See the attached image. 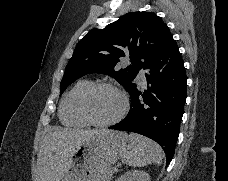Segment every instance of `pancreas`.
I'll return each mask as SVG.
<instances>
[{"instance_id":"cf45deb5","label":"pancreas","mask_w":228,"mask_h":181,"mask_svg":"<svg viewBox=\"0 0 228 181\" xmlns=\"http://www.w3.org/2000/svg\"><path fill=\"white\" fill-rule=\"evenodd\" d=\"M112 170L113 169H109V173H108V177H107V179H109V181H112V179H113V177H112V175H113Z\"/></svg>"}]
</instances>
